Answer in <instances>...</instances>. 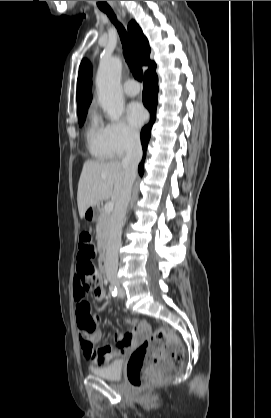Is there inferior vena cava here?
<instances>
[{"label": "inferior vena cava", "mask_w": 271, "mask_h": 418, "mask_svg": "<svg viewBox=\"0 0 271 418\" xmlns=\"http://www.w3.org/2000/svg\"><path fill=\"white\" fill-rule=\"evenodd\" d=\"M142 158L139 134H133L128 142L122 165L126 170L124 188L115 204L110 223V233L106 249L105 272L110 283L117 282L118 251L127 207L131 198L132 185L137 175L138 164Z\"/></svg>", "instance_id": "inferior-vena-cava-1"}]
</instances>
